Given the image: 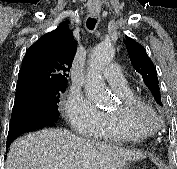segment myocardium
<instances>
[{
    "label": "myocardium",
    "mask_w": 177,
    "mask_h": 169,
    "mask_svg": "<svg viewBox=\"0 0 177 169\" xmlns=\"http://www.w3.org/2000/svg\"><path fill=\"white\" fill-rule=\"evenodd\" d=\"M114 114L122 122L128 133L153 134L161 126L157 112L139 97L121 100Z\"/></svg>",
    "instance_id": "f54148a6"
}]
</instances>
